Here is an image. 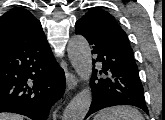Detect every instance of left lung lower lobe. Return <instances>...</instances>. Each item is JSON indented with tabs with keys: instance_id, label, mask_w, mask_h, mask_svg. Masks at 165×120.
<instances>
[{
	"instance_id": "left-lung-lower-lobe-1",
	"label": "left lung lower lobe",
	"mask_w": 165,
	"mask_h": 120,
	"mask_svg": "<svg viewBox=\"0 0 165 120\" xmlns=\"http://www.w3.org/2000/svg\"><path fill=\"white\" fill-rule=\"evenodd\" d=\"M75 28V33L83 35L90 44L92 54H95L93 64L99 65L91 78L93 99L86 117L115 105H133L148 113L134 57L96 33L82 19L76 22Z\"/></svg>"
}]
</instances>
